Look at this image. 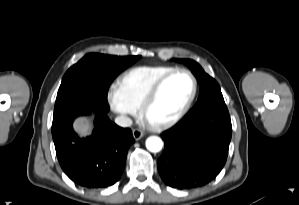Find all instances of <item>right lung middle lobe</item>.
<instances>
[{
	"mask_svg": "<svg viewBox=\"0 0 299 205\" xmlns=\"http://www.w3.org/2000/svg\"><path fill=\"white\" fill-rule=\"evenodd\" d=\"M140 57H117L97 53L85 55L65 73L58 90L53 118L83 101L107 103L110 83Z\"/></svg>",
	"mask_w": 299,
	"mask_h": 205,
	"instance_id": "right-lung-middle-lobe-1",
	"label": "right lung middle lobe"
}]
</instances>
